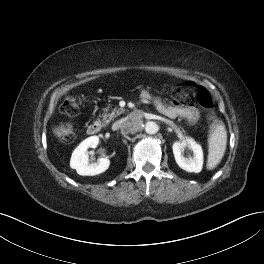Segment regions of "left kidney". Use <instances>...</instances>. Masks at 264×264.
<instances>
[{
	"label": "left kidney",
	"mask_w": 264,
	"mask_h": 264,
	"mask_svg": "<svg viewBox=\"0 0 264 264\" xmlns=\"http://www.w3.org/2000/svg\"><path fill=\"white\" fill-rule=\"evenodd\" d=\"M188 147L194 153L193 158H185L183 156L184 149ZM175 161L180 168L188 172L199 173L203 166V151L202 147L192 138H186L182 142H174L172 145Z\"/></svg>",
	"instance_id": "obj_1"
}]
</instances>
